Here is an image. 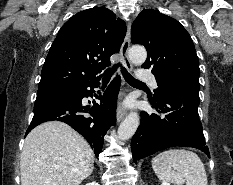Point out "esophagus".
Masks as SVG:
<instances>
[{
    "instance_id": "obj_1",
    "label": "esophagus",
    "mask_w": 233,
    "mask_h": 185,
    "mask_svg": "<svg viewBox=\"0 0 233 185\" xmlns=\"http://www.w3.org/2000/svg\"><path fill=\"white\" fill-rule=\"evenodd\" d=\"M130 38H131V23H128L127 25V33L122 45V49H121V59H122V63L123 66L131 71L132 70V64L131 61L128 57V51H129V47H130ZM127 112L126 110H124L121 106L118 107L117 109V122H120L125 116H126Z\"/></svg>"
}]
</instances>
